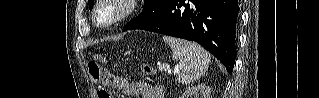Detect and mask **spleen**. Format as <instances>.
Returning a JSON list of instances; mask_svg holds the SVG:
<instances>
[{"label": "spleen", "instance_id": "1", "mask_svg": "<svg viewBox=\"0 0 319 98\" xmlns=\"http://www.w3.org/2000/svg\"><path fill=\"white\" fill-rule=\"evenodd\" d=\"M163 40L172 51L177 62V79L182 84L195 82L203 76L210 64L211 56L194 42L164 36Z\"/></svg>", "mask_w": 319, "mask_h": 98}]
</instances>
